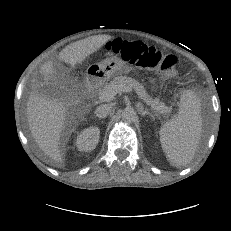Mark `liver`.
Wrapping results in <instances>:
<instances>
[{
	"label": "liver",
	"mask_w": 231,
	"mask_h": 231,
	"mask_svg": "<svg viewBox=\"0 0 231 231\" xmlns=\"http://www.w3.org/2000/svg\"><path fill=\"white\" fill-rule=\"evenodd\" d=\"M112 39L110 35H95L76 41L66 46L59 59L71 67L82 64L87 57L99 50ZM45 84H61L52 61L41 67ZM67 107L61 100L49 99L34 89L27 101V120L32 137L40 150L52 161L62 164L63 154L60 150V139L67 123Z\"/></svg>",
	"instance_id": "liver-1"
}]
</instances>
